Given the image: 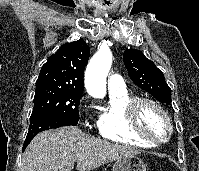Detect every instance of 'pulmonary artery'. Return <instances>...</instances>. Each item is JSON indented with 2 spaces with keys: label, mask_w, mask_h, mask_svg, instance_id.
Masks as SVG:
<instances>
[{
  "label": "pulmonary artery",
  "mask_w": 199,
  "mask_h": 171,
  "mask_svg": "<svg viewBox=\"0 0 199 171\" xmlns=\"http://www.w3.org/2000/svg\"><path fill=\"white\" fill-rule=\"evenodd\" d=\"M109 91H119L125 89L123 79L118 74H112L108 80Z\"/></svg>",
  "instance_id": "e3ab8cb5"
}]
</instances>
